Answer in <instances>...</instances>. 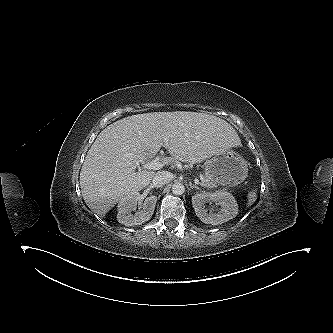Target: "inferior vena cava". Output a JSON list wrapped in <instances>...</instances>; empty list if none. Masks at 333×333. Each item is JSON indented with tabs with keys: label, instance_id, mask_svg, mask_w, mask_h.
<instances>
[{
	"label": "inferior vena cava",
	"instance_id": "602c4592",
	"mask_svg": "<svg viewBox=\"0 0 333 333\" xmlns=\"http://www.w3.org/2000/svg\"><path fill=\"white\" fill-rule=\"evenodd\" d=\"M173 178V174L168 171H159L155 174L152 182L155 187H161L169 183Z\"/></svg>",
	"mask_w": 333,
	"mask_h": 333
}]
</instances>
